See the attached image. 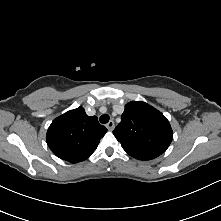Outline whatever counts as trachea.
Here are the masks:
<instances>
[{
    "mask_svg": "<svg viewBox=\"0 0 221 221\" xmlns=\"http://www.w3.org/2000/svg\"><path fill=\"white\" fill-rule=\"evenodd\" d=\"M109 119H110V117L108 114H103L100 116L99 120L102 124H106V123H108Z\"/></svg>",
    "mask_w": 221,
    "mask_h": 221,
    "instance_id": "3493384b",
    "label": "trachea"
}]
</instances>
